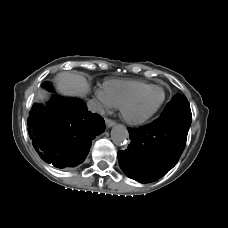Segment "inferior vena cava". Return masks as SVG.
<instances>
[{
  "mask_svg": "<svg viewBox=\"0 0 228 228\" xmlns=\"http://www.w3.org/2000/svg\"><path fill=\"white\" fill-rule=\"evenodd\" d=\"M87 107L89 111L93 113H98L101 115L104 114V109L102 108V106L92 99L87 102Z\"/></svg>",
  "mask_w": 228,
  "mask_h": 228,
  "instance_id": "inferior-vena-cava-1",
  "label": "inferior vena cava"
}]
</instances>
